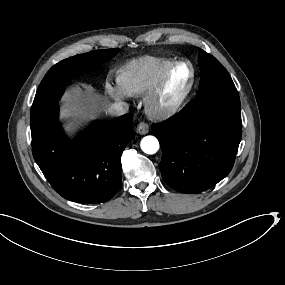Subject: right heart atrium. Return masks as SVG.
<instances>
[{"instance_id": "d8ad5b80", "label": "right heart atrium", "mask_w": 285, "mask_h": 285, "mask_svg": "<svg viewBox=\"0 0 285 285\" xmlns=\"http://www.w3.org/2000/svg\"><path fill=\"white\" fill-rule=\"evenodd\" d=\"M105 90L108 96L114 101H123L127 99L126 92L117 85H112L109 80L105 83Z\"/></svg>"}]
</instances>
